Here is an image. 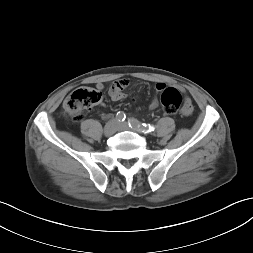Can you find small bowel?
<instances>
[{"instance_id": "c3829d8e", "label": "small bowel", "mask_w": 253, "mask_h": 253, "mask_svg": "<svg viewBox=\"0 0 253 253\" xmlns=\"http://www.w3.org/2000/svg\"><path fill=\"white\" fill-rule=\"evenodd\" d=\"M128 80L126 79H120L112 83L109 89V95L114 101H119L124 98L123 89L128 85ZM97 89L101 91L103 89L102 84H97ZM166 87V84L164 83H157L155 86V89L157 92H161ZM159 106V102L157 98H153L149 104V107L151 109H156ZM194 106L191 104V101L189 98L185 99V102L180 107V112L185 117H190L193 114Z\"/></svg>"}]
</instances>
